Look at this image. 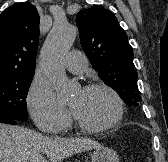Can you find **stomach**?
<instances>
[{"instance_id":"stomach-1","label":"stomach","mask_w":168,"mask_h":162,"mask_svg":"<svg viewBox=\"0 0 168 162\" xmlns=\"http://www.w3.org/2000/svg\"><path fill=\"white\" fill-rule=\"evenodd\" d=\"M91 162H119V157L114 150L99 147L92 153Z\"/></svg>"}]
</instances>
